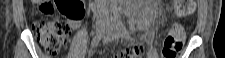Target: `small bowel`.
<instances>
[{
	"instance_id": "c3829d8e",
	"label": "small bowel",
	"mask_w": 225,
	"mask_h": 58,
	"mask_svg": "<svg viewBox=\"0 0 225 58\" xmlns=\"http://www.w3.org/2000/svg\"><path fill=\"white\" fill-rule=\"evenodd\" d=\"M70 25L73 29H76L79 26V21L70 20Z\"/></svg>"
}]
</instances>
